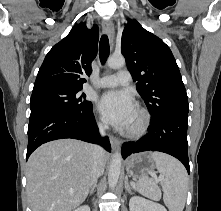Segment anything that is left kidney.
Listing matches in <instances>:
<instances>
[{
	"mask_svg": "<svg viewBox=\"0 0 221 211\" xmlns=\"http://www.w3.org/2000/svg\"><path fill=\"white\" fill-rule=\"evenodd\" d=\"M130 211H167L164 206L156 202L133 196L129 201Z\"/></svg>",
	"mask_w": 221,
	"mask_h": 211,
	"instance_id": "obj_1",
	"label": "left kidney"
}]
</instances>
